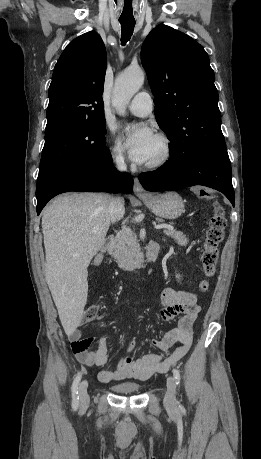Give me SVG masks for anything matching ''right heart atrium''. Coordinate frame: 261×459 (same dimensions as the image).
Wrapping results in <instances>:
<instances>
[{
    "instance_id": "right-heart-atrium-1",
    "label": "right heart atrium",
    "mask_w": 261,
    "mask_h": 459,
    "mask_svg": "<svg viewBox=\"0 0 261 459\" xmlns=\"http://www.w3.org/2000/svg\"><path fill=\"white\" fill-rule=\"evenodd\" d=\"M110 154L113 163L118 169H125L127 159L123 152L122 146L118 141H114L110 147Z\"/></svg>"
}]
</instances>
